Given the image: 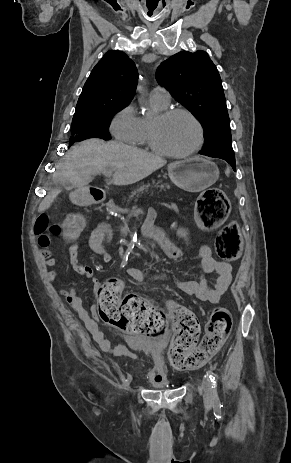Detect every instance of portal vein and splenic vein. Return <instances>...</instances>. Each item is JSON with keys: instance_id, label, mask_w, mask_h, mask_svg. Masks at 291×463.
<instances>
[{"instance_id": "18ae733b", "label": "portal vein and splenic vein", "mask_w": 291, "mask_h": 463, "mask_svg": "<svg viewBox=\"0 0 291 463\" xmlns=\"http://www.w3.org/2000/svg\"><path fill=\"white\" fill-rule=\"evenodd\" d=\"M106 175H107V176H111V172H110V171H106Z\"/></svg>"}]
</instances>
